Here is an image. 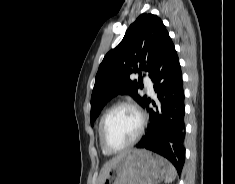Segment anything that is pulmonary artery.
Listing matches in <instances>:
<instances>
[{
    "label": "pulmonary artery",
    "mask_w": 235,
    "mask_h": 184,
    "mask_svg": "<svg viewBox=\"0 0 235 184\" xmlns=\"http://www.w3.org/2000/svg\"><path fill=\"white\" fill-rule=\"evenodd\" d=\"M145 84H146V88L147 90L152 93L153 92V84L150 78H146L145 79Z\"/></svg>",
    "instance_id": "obj_1"
}]
</instances>
